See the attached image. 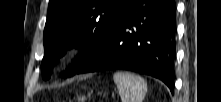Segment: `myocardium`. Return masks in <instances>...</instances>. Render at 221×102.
<instances>
[{
	"instance_id": "myocardium-1",
	"label": "myocardium",
	"mask_w": 221,
	"mask_h": 102,
	"mask_svg": "<svg viewBox=\"0 0 221 102\" xmlns=\"http://www.w3.org/2000/svg\"><path fill=\"white\" fill-rule=\"evenodd\" d=\"M84 49V43L80 40H74L67 46V53L71 56L79 55Z\"/></svg>"
}]
</instances>
